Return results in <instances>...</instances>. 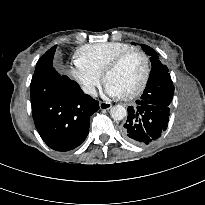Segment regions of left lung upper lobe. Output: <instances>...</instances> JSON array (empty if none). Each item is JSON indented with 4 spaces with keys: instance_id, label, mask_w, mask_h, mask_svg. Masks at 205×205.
Returning <instances> with one entry per match:
<instances>
[{
    "instance_id": "obj_1",
    "label": "left lung upper lobe",
    "mask_w": 205,
    "mask_h": 205,
    "mask_svg": "<svg viewBox=\"0 0 205 205\" xmlns=\"http://www.w3.org/2000/svg\"><path fill=\"white\" fill-rule=\"evenodd\" d=\"M141 47L151 56L150 60L152 62L150 76L141 99L170 105L173 98L174 85L168 68L166 65L161 64L157 53L151 47L144 44Z\"/></svg>"
}]
</instances>
